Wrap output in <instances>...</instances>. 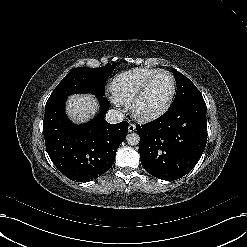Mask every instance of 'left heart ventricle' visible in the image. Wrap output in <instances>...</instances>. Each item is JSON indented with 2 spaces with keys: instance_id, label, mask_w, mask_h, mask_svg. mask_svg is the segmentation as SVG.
I'll use <instances>...</instances> for the list:
<instances>
[{
  "instance_id": "obj_1",
  "label": "left heart ventricle",
  "mask_w": 247,
  "mask_h": 247,
  "mask_svg": "<svg viewBox=\"0 0 247 247\" xmlns=\"http://www.w3.org/2000/svg\"><path fill=\"white\" fill-rule=\"evenodd\" d=\"M171 88V80L166 74L156 76L140 99L139 109L149 111L161 106L168 98Z\"/></svg>"
}]
</instances>
